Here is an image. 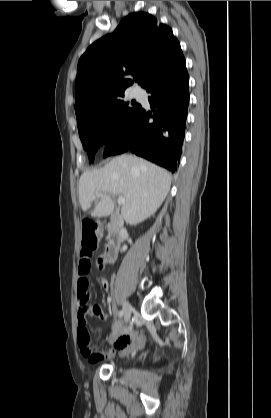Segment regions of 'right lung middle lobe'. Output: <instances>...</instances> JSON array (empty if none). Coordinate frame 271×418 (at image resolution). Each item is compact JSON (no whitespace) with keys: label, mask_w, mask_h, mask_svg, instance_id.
Wrapping results in <instances>:
<instances>
[{"label":"right lung middle lobe","mask_w":271,"mask_h":418,"mask_svg":"<svg viewBox=\"0 0 271 418\" xmlns=\"http://www.w3.org/2000/svg\"><path fill=\"white\" fill-rule=\"evenodd\" d=\"M123 97L124 94H121L77 116L79 136L92 162L95 152L104 146L110 135L141 107L135 101L125 102Z\"/></svg>","instance_id":"dd1d6c3e"}]
</instances>
